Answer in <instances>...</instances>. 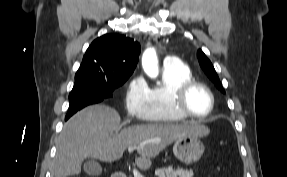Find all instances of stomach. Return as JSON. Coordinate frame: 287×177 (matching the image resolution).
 <instances>
[{
	"label": "stomach",
	"mask_w": 287,
	"mask_h": 177,
	"mask_svg": "<svg viewBox=\"0 0 287 177\" xmlns=\"http://www.w3.org/2000/svg\"><path fill=\"white\" fill-rule=\"evenodd\" d=\"M204 144L199 136L187 135L177 139L173 153L177 159L186 164L197 162L204 153Z\"/></svg>",
	"instance_id": "1"
}]
</instances>
